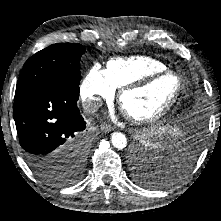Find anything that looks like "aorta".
I'll return each instance as SVG.
<instances>
[{"instance_id":"aorta-1","label":"aorta","mask_w":221,"mask_h":221,"mask_svg":"<svg viewBox=\"0 0 221 221\" xmlns=\"http://www.w3.org/2000/svg\"><path fill=\"white\" fill-rule=\"evenodd\" d=\"M111 143L116 149H123L127 145V138L121 132H114L111 135ZM143 151H146V148L143 147Z\"/></svg>"}]
</instances>
